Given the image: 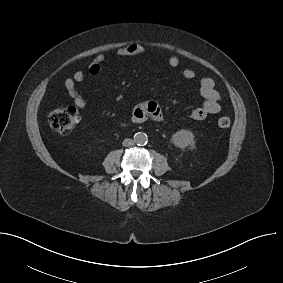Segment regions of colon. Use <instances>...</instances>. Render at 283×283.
<instances>
[{
  "mask_svg": "<svg viewBox=\"0 0 283 283\" xmlns=\"http://www.w3.org/2000/svg\"><path fill=\"white\" fill-rule=\"evenodd\" d=\"M78 121V112L74 107L56 108L48 115V122L51 128L60 134L72 132ZM217 124L220 128H228L231 125V119L228 116H222L218 119Z\"/></svg>",
  "mask_w": 283,
  "mask_h": 283,
  "instance_id": "1",
  "label": "colon"
}]
</instances>
